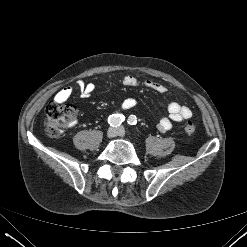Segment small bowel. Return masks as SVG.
<instances>
[{
    "label": "small bowel",
    "instance_id": "obj_1",
    "mask_svg": "<svg viewBox=\"0 0 247 247\" xmlns=\"http://www.w3.org/2000/svg\"><path fill=\"white\" fill-rule=\"evenodd\" d=\"M122 84L127 87H146L152 89L158 93H165L167 91L166 85L161 82H155L151 80L139 81L136 77L132 75H126L122 79ZM78 90L80 92L81 97L87 98L89 97L95 90V85L93 83H85L83 81H79L77 83ZM72 87H64L59 90L54 99L58 103L65 102L69 99L72 94ZM136 105V100L134 98L125 99L121 108L123 110H129ZM168 116H164L160 119L158 123V129L161 132L169 131L172 128L173 122H181L183 120L189 119L192 116V111L189 107L182 105L176 101H172L167 106Z\"/></svg>",
    "mask_w": 247,
    "mask_h": 247
}]
</instances>
